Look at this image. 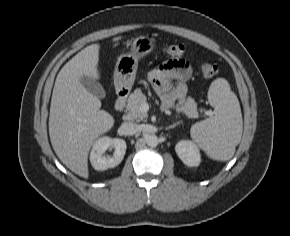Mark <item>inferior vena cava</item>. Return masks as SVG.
Returning a JSON list of instances; mask_svg holds the SVG:
<instances>
[{"label":"inferior vena cava","mask_w":290,"mask_h":236,"mask_svg":"<svg viewBox=\"0 0 290 236\" xmlns=\"http://www.w3.org/2000/svg\"><path fill=\"white\" fill-rule=\"evenodd\" d=\"M120 129L124 135H134L138 132V125L134 122H124Z\"/></svg>","instance_id":"602c4592"}]
</instances>
